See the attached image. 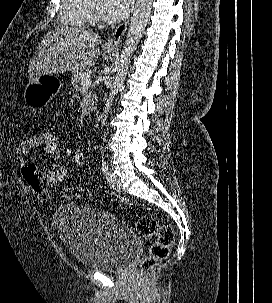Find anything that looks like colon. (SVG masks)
Returning a JSON list of instances; mask_svg holds the SVG:
<instances>
[{
	"instance_id": "colon-1",
	"label": "colon",
	"mask_w": 272,
	"mask_h": 303,
	"mask_svg": "<svg viewBox=\"0 0 272 303\" xmlns=\"http://www.w3.org/2000/svg\"><path fill=\"white\" fill-rule=\"evenodd\" d=\"M36 136L43 148H59L57 135L51 129H44ZM71 162L76 170H81L86 164L85 155L82 152H75L71 156ZM22 174L38 198L45 203L50 202L51 195L41 181V175L36 171V168L33 165L24 166ZM62 196L69 199L77 198L85 201H89L92 198V194L88 189L78 186L64 188L62 190ZM135 227L142 237L156 238V241L150 246L146 257L142 260L139 267L140 275L145 276L158 263L169 256L174 243L175 232L170 225L160 224L151 216L138 218L135 221Z\"/></svg>"
}]
</instances>
